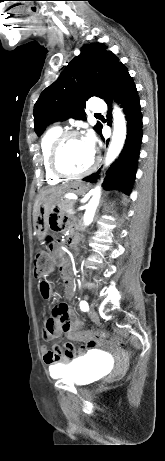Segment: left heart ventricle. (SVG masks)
Masks as SVG:
<instances>
[{"label": "left heart ventricle", "mask_w": 165, "mask_h": 461, "mask_svg": "<svg viewBox=\"0 0 165 461\" xmlns=\"http://www.w3.org/2000/svg\"><path fill=\"white\" fill-rule=\"evenodd\" d=\"M94 152L88 147L82 137H73L65 142L60 155V166L72 173L85 170L92 162Z\"/></svg>", "instance_id": "1"}]
</instances>
